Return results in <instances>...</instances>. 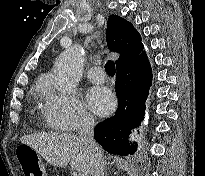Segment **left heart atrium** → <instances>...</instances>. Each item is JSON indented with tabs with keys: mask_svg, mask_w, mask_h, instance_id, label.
<instances>
[{
	"mask_svg": "<svg viewBox=\"0 0 205 176\" xmlns=\"http://www.w3.org/2000/svg\"><path fill=\"white\" fill-rule=\"evenodd\" d=\"M87 101L91 110L100 116L109 114L116 104L113 93L105 87H92L89 89Z\"/></svg>",
	"mask_w": 205,
	"mask_h": 176,
	"instance_id": "obj_1",
	"label": "left heart atrium"
}]
</instances>
